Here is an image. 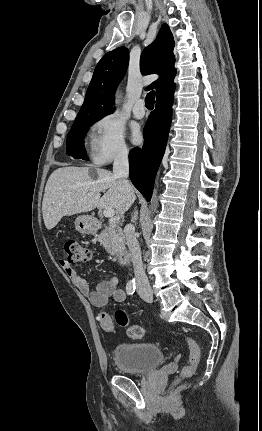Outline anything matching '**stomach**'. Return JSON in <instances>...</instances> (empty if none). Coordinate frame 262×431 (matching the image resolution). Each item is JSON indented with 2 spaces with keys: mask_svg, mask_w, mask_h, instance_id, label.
<instances>
[{
  "mask_svg": "<svg viewBox=\"0 0 262 431\" xmlns=\"http://www.w3.org/2000/svg\"><path fill=\"white\" fill-rule=\"evenodd\" d=\"M75 228L82 234H94L97 231L96 221L89 215L78 216L75 220Z\"/></svg>",
  "mask_w": 262,
  "mask_h": 431,
  "instance_id": "stomach-1",
  "label": "stomach"
}]
</instances>
